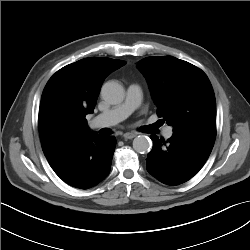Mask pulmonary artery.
Returning a JSON list of instances; mask_svg holds the SVG:
<instances>
[{
  "mask_svg": "<svg viewBox=\"0 0 250 250\" xmlns=\"http://www.w3.org/2000/svg\"><path fill=\"white\" fill-rule=\"evenodd\" d=\"M143 97L142 88L138 84H130L127 88L126 98L123 103L117 105L93 118V127H110L125 120L141 104ZM164 137L170 138L173 134L172 127L164 129Z\"/></svg>",
  "mask_w": 250,
  "mask_h": 250,
  "instance_id": "1",
  "label": "pulmonary artery"
}]
</instances>
